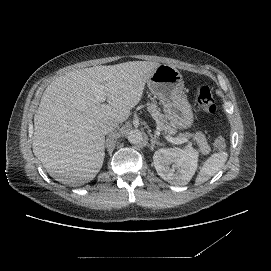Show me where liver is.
Returning a JSON list of instances; mask_svg holds the SVG:
<instances>
[{"mask_svg": "<svg viewBox=\"0 0 271 271\" xmlns=\"http://www.w3.org/2000/svg\"><path fill=\"white\" fill-rule=\"evenodd\" d=\"M159 66L151 61L95 66L70 71L47 86L34 115L32 147L52 178L71 185L95 178L105 157L101 126L128 119ZM99 87L107 103L96 99Z\"/></svg>", "mask_w": 271, "mask_h": 271, "instance_id": "obj_1", "label": "liver"}]
</instances>
